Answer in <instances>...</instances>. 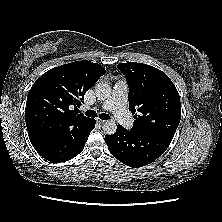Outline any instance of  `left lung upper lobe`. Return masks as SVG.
<instances>
[{
  "label": "left lung upper lobe",
  "mask_w": 222,
  "mask_h": 222,
  "mask_svg": "<svg viewBox=\"0 0 222 222\" xmlns=\"http://www.w3.org/2000/svg\"><path fill=\"white\" fill-rule=\"evenodd\" d=\"M117 68L125 75L129 86V110L136 119L131 130L174 136L181 119V107L180 96L170 78L143 63H120Z\"/></svg>",
  "instance_id": "obj_1"
}]
</instances>
